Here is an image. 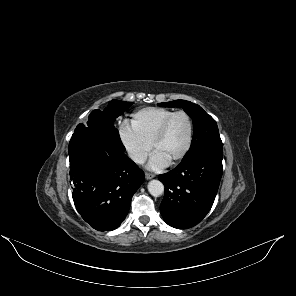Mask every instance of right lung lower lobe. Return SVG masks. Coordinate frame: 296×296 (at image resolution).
Returning <instances> with one entry per match:
<instances>
[{
  "mask_svg": "<svg viewBox=\"0 0 296 296\" xmlns=\"http://www.w3.org/2000/svg\"><path fill=\"white\" fill-rule=\"evenodd\" d=\"M124 151L118 131L96 123L79 124L69 142L74 204L98 231L120 226L145 178Z\"/></svg>",
  "mask_w": 296,
  "mask_h": 296,
  "instance_id": "98d812e1",
  "label": "right lung lower lobe"
}]
</instances>
